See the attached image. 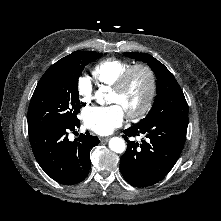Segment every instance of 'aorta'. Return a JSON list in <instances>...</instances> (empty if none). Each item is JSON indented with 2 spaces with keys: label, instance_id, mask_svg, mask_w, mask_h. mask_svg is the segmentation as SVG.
<instances>
[{
  "label": "aorta",
  "instance_id": "762f6f07",
  "mask_svg": "<svg viewBox=\"0 0 221 221\" xmlns=\"http://www.w3.org/2000/svg\"><path fill=\"white\" fill-rule=\"evenodd\" d=\"M103 89H99L96 94H95V98L97 99V101L102 104L104 103L103 100ZM109 148L116 152V153H123L126 150V145L125 142L122 138L120 137H113L109 140Z\"/></svg>",
  "mask_w": 221,
  "mask_h": 221
}]
</instances>
